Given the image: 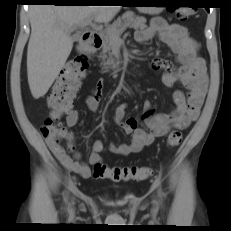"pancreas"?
Listing matches in <instances>:
<instances>
[{"label":"pancreas","instance_id":"cf45deb5","mask_svg":"<svg viewBox=\"0 0 231 231\" xmlns=\"http://www.w3.org/2000/svg\"><path fill=\"white\" fill-rule=\"evenodd\" d=\"M125 25L130 26L134 29H145L146 28V19L141 16H136L132 11L125 12L122 17H119L116 21L113 22L112 25L106 27L103 34V51H102V60L104 68L115 66L114 59L110 53L115 38L114 35L117 34L122 27ZM106 53L109 54V58L107 59ZM107 59V61H105Z\"/></svg>","mask_w":231,"mask_h":231}]
</instances>
